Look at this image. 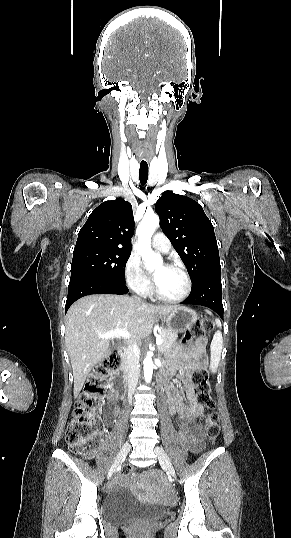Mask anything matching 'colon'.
Listing matches in <instances>:
<instances>
[{
  "mask_svg": "<svg viewBox=\"0 0 291 538\" xmlns=\"http://www.w3.org/2000/svg\"><path fill=\"white\" fill-rule=\"evenodd\" d=\"M212 327L211 319L201 318L182 337V344L190 346L196 339L209 332ZM121 363V354L113 352L88 375L66 430V443L72 451L81 452L88 457L94 454L101 434L97 410L102 404L105 383L111 375L119 371ZM191 378L197 390L198 402L209 410L202 415L200 424L209 441L213 443L219 434V416L213 411L215 402L212 397V388L202 362L199 363ZM124 473L126 476H131L133 470L126 469Z\"/></svg>",
  "mask_w": 291,
  "mask_h": 538,
  "instance_id": "colon-1",
  "label": "colon"
}]
</instances>
